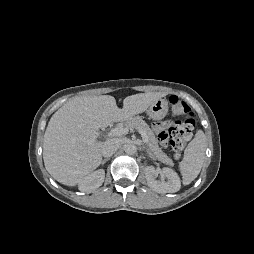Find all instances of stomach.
<instances>
[{"label":"stomach","instance_id":"0dacf381","mask_svg":"<svg viewBox=\"0 0 254 254\" xmlns=\"http://www.w3.org/2000/svg\"><path fill=\"white\" fill-rule=\"evenodd\" d=\"M168 112V102L165 99L156 100L148 109L147 114L153 120H162Z\"/></svg>","mask_w":254,"mask_h":254}]
</instances>
